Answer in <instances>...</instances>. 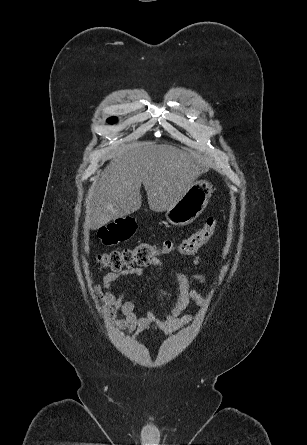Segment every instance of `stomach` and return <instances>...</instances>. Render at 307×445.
Masks as SVG:
<instances>
[{
  "instance_id": "1",
  "label": "stomach",
  "mask_w": 307,
  "mask_h": 445,
  "mask_svg": "<svg viewBox=\"0 0 307 445\" xmlns=\"http://www.w3.org/2000/svg\"><path fill=\"white\" fill-rule=\"evenodd\" d=\"M213 188L208 180H195L190 184L183 196L165 212L166 220L170 225L184 227L203 212L208 204Z\"/></svg>"
}]
</instances>
